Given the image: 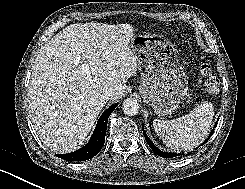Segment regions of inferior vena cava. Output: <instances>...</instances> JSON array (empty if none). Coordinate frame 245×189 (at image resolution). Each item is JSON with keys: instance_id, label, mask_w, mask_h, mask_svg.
Returning a JSON list of instances; mask_svg holds the SVG:
<instances>
[{"instance_id": "1", "label": "inferior vena cava", "mask_w": 245, "mask_h": 189, "mask_svg": "<svg viewBox=\"0 0 245 189\" xmlns=\"http://www.w3.org/2000/svg\"><path fill=\"white\" fill-rule=\"evenodd\" d=\"M114 95V91L112 89H107L104 91L102 98L106 101L110 100Z\"/></svg>"}]
</instances>
